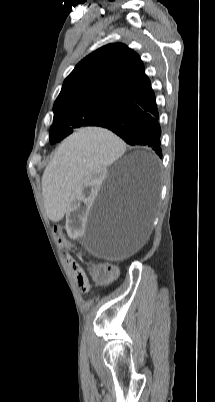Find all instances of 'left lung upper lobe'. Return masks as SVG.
<instances>
[{
  "label": "left lung upper lobe",
  "mask_w": 215,
  "mask_h": 402,
  "mask_svg": "<svg viewBox=\"0 0 215 402\" xmlns=\"http://www.w3.org/2000/svg\"><path fill=\"white\" fill-rule=\"evenodd\" d=\"M147 80L139 55L124 44H109L89 54L65 79L54 103L50 143L74 128L96 126L134 97Z\"/></svg>",
  "instance_id": "obj_1"
}]
</instances>
